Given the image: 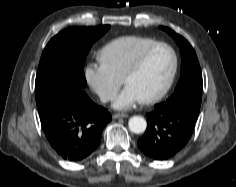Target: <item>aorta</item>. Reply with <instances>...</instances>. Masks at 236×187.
Listing matches in <instances>:
<instances>
[{
  "instance_id": "762f6f07",
  "label": "aorta",
  "mask_w": 236,
  "mask_h": 187,
  "mask_svg": "<svg viewBox=\"0 0 236 187\" xmlns=\"http://www.w3.org/2000/svg\"><path fill=\"white\" fill-rule=\"evenodd\" d=\"M128 126L131 132L140 134L146 130V120L141 116H133L129 119Z\"/></svg>"
}]
</instances>
